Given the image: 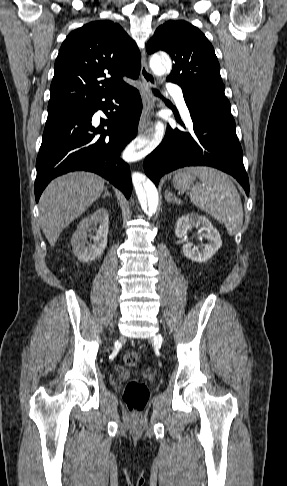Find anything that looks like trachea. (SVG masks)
Wrapping results in <instances>:
<instances>
[{
	"instance_id": "1",
	"label": "trachea",
	"mask_w": 287,
	"mask_h": 486,
	"mask_svg": "<svg viewBox=\"0 0 287 486\" xmlns=\"http://www.w3.org/2000/svg\"><path fill=\"white\" fill-rule=\"evenodd\" d=\"M153 92L155 95H160V92L158 90L153 89Z\"/></svg>"
}]
</instances>
